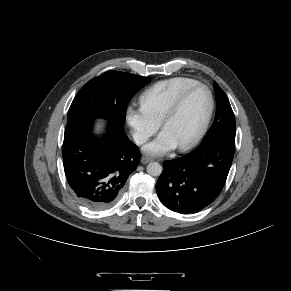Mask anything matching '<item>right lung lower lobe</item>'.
I'll list each match as a JSON object with an SVG mask.
<instances>
[{"instance_id": "obj_1", "label": "right lung lower lobe", "mask_w": 291, "mask_h": 291, "mask_svg": "<svg viewBox=\"0 0 291 291\" xmlns=\"http://www.w3.org/2000/svg\"><path fill=\"white\" fill-rule=\"evenodd\" d=\"M91 129L92 120L66 125L63 164L77 199L92 210H102L116 202L140 156L123 126L110 123L101 139L95 138Z\"/></svg>"}]
</instances>
